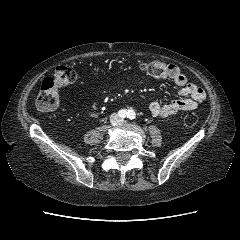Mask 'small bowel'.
<instances>
[{"mask_svg": "<svg viewBox=\"0 0 240 240\" xmlns=\"http://www.w3.org/2000/svg\"><path fill=\"white\" fill-rule=\"evenodd\" d=\"M168 77L180 87L179 99L166 103L154 101L149 105V110L154 117L167 118L182 111L196 109L206 98L202 88L188 82L186 76L174 64H168Z\"/></svg>", "mask_w": 240, "mask_h": 240, "instance_id": "obj_1", "label": "small bowel"}]
</instances>
